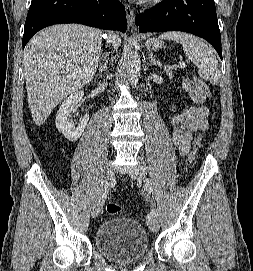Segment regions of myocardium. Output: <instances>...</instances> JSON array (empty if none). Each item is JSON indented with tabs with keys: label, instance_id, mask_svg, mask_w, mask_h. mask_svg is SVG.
Returning a JSON list of instances; mask_svg holds the SVG:
<instances>
[{
	"label": "myocardium",
	"instance_id": "f54148a6",
	"mask_svg": "<svg viewBox=\"0 0 253 271\" xmlns=\"http://www.w3.org/2000/svg\"><path fill=\"white\" fill-rule=\"evenodd\" d=\"M163 0H148V2L151 4V5H157L159 3H161Z\"/></svg>",
	"mask_w": 253,
	"mask_h": 271
}]
</instances>
